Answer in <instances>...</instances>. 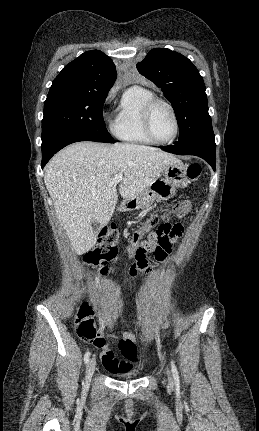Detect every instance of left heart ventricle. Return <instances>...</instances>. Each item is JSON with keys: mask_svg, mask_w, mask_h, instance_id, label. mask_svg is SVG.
Wrapping results in <instances>:
<instances>
[{"mask_svg": "<svg viewBox=\"0 0 259 431\" xmlns=\"http://www.w3.org/2000/svg\"><path fill=\"white\" fill-rule=\"evenodd\" d=\"M152 130L160 141L169 140L175 131V124L170 110L164 105H158L152 115Z\"/></svg>", "mask_w": 259, "mask_h": 431, "instance_id": "obj_1", "label": "left heart ventricle"}]
</instances>
